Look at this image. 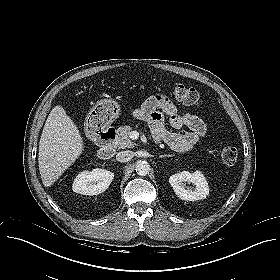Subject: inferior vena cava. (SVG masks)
<instances>
[{
    "instance_id": "602c4592",
    "label": "inferior vena cava",
    "mask_w": 280,
    "mask_h": 280,
    "mask_svg": "<svg viewBox=\"0 0 280 280\" xmlns=\"http://www.w3.org/2000/svg\"><path fill=\"white\" fill-rule=\"evenodd\" d=\"M133 152L130 150L121 151L116 155V160L119 162H128L133 158Z\"/></svg>"
}]
</instances>
